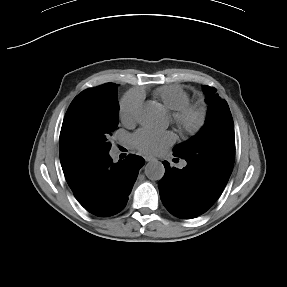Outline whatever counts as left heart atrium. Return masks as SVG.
<instances>
[{"label":"left heart atrium","instance_id":"left-heart-atrium-1","mask_svg":"<svg viewBox=\"0 0 287 287\" xmlns=\"http://www.w3.org/2000/svg\"><path fill=\"white\" fill-rule=\"evenodd\" d=\"M174 139L172 133L142 130L135 135L133 145L141 153L154 156L163 152Z\"/></svg>","mask_w":287,"mask_h":287}]
</instances>
